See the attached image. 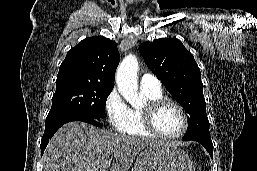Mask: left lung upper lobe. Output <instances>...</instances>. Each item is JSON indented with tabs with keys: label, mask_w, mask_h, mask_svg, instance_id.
<instances>
[{
	"label": "left lung upper lobe",
	"mask_w": 257,
	"mask_h": 171,
	"mask_svg": "<svg viewBox=\"0 0 257 171\" xmlns=\"http://www.w3.org/2000/svg\"><path fill=\"white\" fill-rule=\"evenodd\" d=\"M139 50L148 68L189 114L182 139H211L201 73L193 55L176 38L144 42Z\"/></svg>",
	"instance_id": "5c2ea615"
}]
</instances>
